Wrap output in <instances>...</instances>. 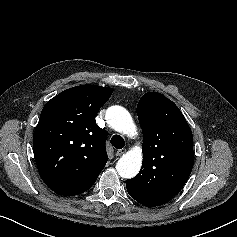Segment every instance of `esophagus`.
<instances>
[{
  "label": "esophagus",
  "instance_id": "1",
  "mask_svg": "<svg viewBox=\"0 0 237 237\" xmlns=\"http://www.w3.org/2000/svg\"><path fill=\"white\" fill-rule=\"evenodd\" d=\"M126 153V149H120L116 151V156H121Z\"/></svg>",
  "mask_w": 237,
  "mask_h": 237
}]
</instances>
